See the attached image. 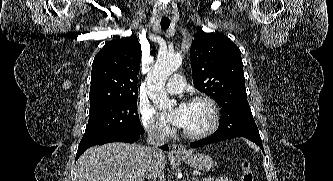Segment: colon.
Returning <instances> with one entry per match:
<instances>
[{
  "label": "colon",
  "instance_id": "colon-1",
  "mask_svg": "<svg viewBox=\"0 0 333 181\" xmlns=\"http://www.w3.org/2000/svg\"><path fill=\"white\" fill-rule=\"evenodd\" d=\"M241 177L240 181H255V175L251 170L250 163L248 160H242L241 162Z\"/></svg>",
  "mask_w": 333,
  "mask_h": 181
}]
</instances>
